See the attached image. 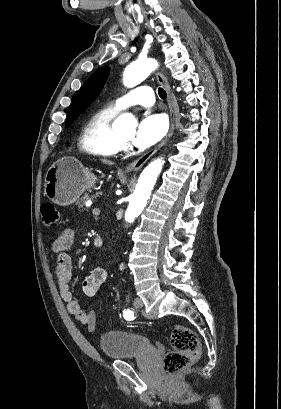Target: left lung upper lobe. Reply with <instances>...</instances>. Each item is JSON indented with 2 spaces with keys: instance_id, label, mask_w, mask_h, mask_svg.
Instances as JSON below:
<instances>
[{
  "instance_id": "1",
  "label": "left lung upper lobe",
  "mask_w": 281,
  "mask_h": 409,
  "mask_svg": "<svg viewBox=\"0 0 281 409\" xmlns=\"http://www.w3.org/2000/svg\"><path fill=\"white\" fill-rule=\"evenodd\" d=\"M109 67L95 71L75 95L68 109L65 126H69L99 95L109 75Z\"/></svg>"
}]
</instances>
